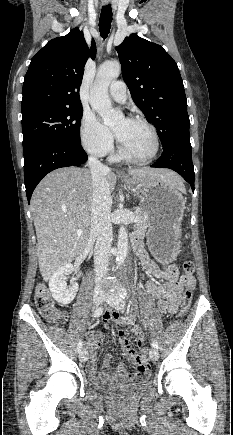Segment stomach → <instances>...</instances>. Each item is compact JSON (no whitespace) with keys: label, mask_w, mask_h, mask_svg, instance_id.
<instances>
[{"label":"stomach","mask_w":233,"mask_h":435,"mask_svg":"<svg viewBox=\"0 0 233 435\" xmlns=\"http://www.w3.org/2000/svg\"><path fill=\"white\" fill-rule=\"evenodd\" d=\"M123 181L140 199L149 228L147 240L151 252L160 262L173 261L180 248V225L185 210L182 194L161 179L124 177Z\"/></svg>","instance_id":"0dacf381"}]
</instances>
